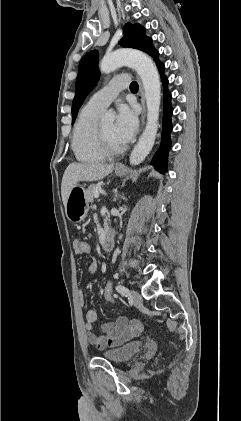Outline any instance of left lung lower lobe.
<instances>
[{"label": "left lung lower lobe", "mask_w": 241, "mask_h": 421, "mask_svg": "<svg viewBox=\"0 0 241 421\" xmlns=\"http://www.w3.org/2000/svg\"><path fill=\"white\" fill-rule=\"evenodd\" d=\"M142 51L148 53L149 55H151L154 58L157 66H158V69L160 71L162 82H163V85H164V108H163V121H162V123H163L162 140H161V145H160L158 151L156 152V154L154 155V157L152 159V164L155 166V168L157 170H159L161 173L164 174L167 170L166 157H167L168 149L171 145V142H170V139H169V132L172 129L171 115L173 113V109H172L171 103H170L171 94L166 88V85L168 84V79L163 74L164 65L158 60L159 53L153 47L151 40L147 43V45L144 47V49Z\"/></svg>", "instance_id": "0a47b994"}]
</instances>
